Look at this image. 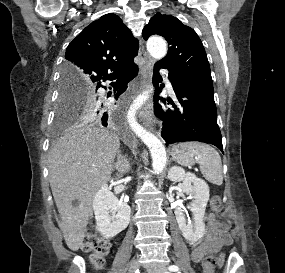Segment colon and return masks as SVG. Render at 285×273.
<instances>
[{
	"label": "colon",
	"instance_id": "obj_1",
	"mask_svg": "<svg viewBox=\"0 0 285 273\" xmlns=\"http://www.w3.org/2000/svg\"><path fill=\"white\" fill-rule=\"evenodd\" d=\"M211 207L215 213H221L222 202L218 196H214L211 199ZM223 223L227 224L226 221ZM110 247V240L97 234L95 231H88L81 244L82 250L90 254L91 262L96 269L102 268L105 264L106 258L110 252ZM216 263V256L211 254L207 255L202 261L203 273H214Z\"/></svg>",
	"mask_w": 285,
	"mask_h": 273
}]
</instances>
